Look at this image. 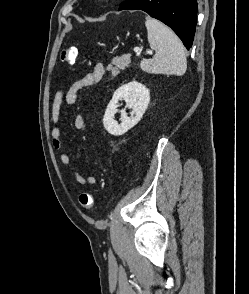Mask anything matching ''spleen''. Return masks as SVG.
I'll return each instance as SVG.
<instances>
[{
    "label": "spleen",
    "instance_id": "3e777b00",
    "mask_svg": "<svg viewBox=\"0 0 249 294\" xmlns=\"http://www.w3.org/2000/svg\"><path fill=\"white\" fill-rule=\"evenodd\" d=\"M145 25L155 55L152 59H142L141 69L151 74L183 75L187 60L184 46L177 35L156 19L146 18Z\"/></svg>",
    "mask_w": 249,
    "mask_h": 294
}]
</instances>
